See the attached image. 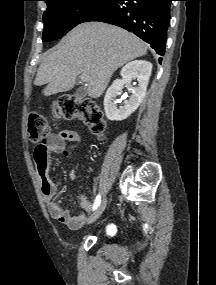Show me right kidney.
I'll return each instance as SVG.
<instances>
[{"label": "right kidney", "instance_id": "1", "mask_svg": "<svg viewBox=\"0 0 216 285\" xmlns=\"http://www.w3.org/2000/svg\"><path fill=\"white\" fill-rule=\"evenodd\" d=\"M151 71L152 64L145 60L131 61L122 68V79H116L104 97V110L109 120L122 121L139 107L145 96ZM135 79H137L138 84L136 87H132L131 82ZM125 84L130 87L131 96L118 108L116 97L121 94Z\"/></svg>", "mask_w": 216, "mask_h": 285}]
</instances>
